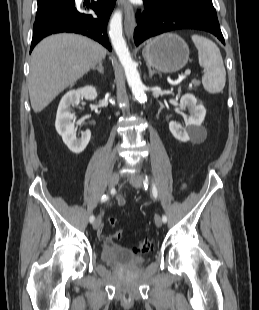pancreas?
I'll list each match as a JSON object with an SVG mask.
<instances>
[{
  "mask_svg": "<svg viewBox=\"0 0 259 310\" xmlns=\"http://www.w3.org/2000/svg\"><path fill=\"white\" fill-rule=\"evenodd\" d=\"M192 83L194 84L195 87H197L200 84V81L198 80H193Z\"/></svg>",
  "mask_w": 259,
  "mask_h": 310,
  "instance_id": "obj_1",
  "label": "pancreas"
}]
</instances>
